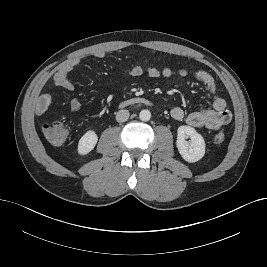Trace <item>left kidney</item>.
I'll list each match as a JSON object with an SVG mask.
<instances>
[{"instance_id": "left-kidney-1", "label": "left kidney", "mask_w": 267, "mask_h": 267, "mask_svg": "<svg viewBox=\"0 0 267 267\" xmlns=\"http://www.w3.org/2000/svg\"><path fill=\"white\" fill-rule=\"evenodd\" d=\"M188 137L190 142L186 140ZM176 145L182 158L189 163L199 161L205 154L204 138L190 126L178 127Z\"/></svg>"}]
</instances>
